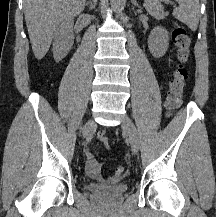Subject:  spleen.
I'll return each mask as SVG.
<instances>
[{
	"mask_svg": "<svg viewBox=\"0 0 216 217\" xmlns=\"http://www.w3.org/2000/svg\"><path fill=\"white\" fill-rule=\"evenodd\" d=\"M179 7L173 10V16L186 24L192 31H196L199 23V0H176Z\"/></svg>",
	"mask_w": 216,
	"mask_h": 217,
	"instance_id": "3e777b00",
	"label": "spleen"
}]
</instances>
